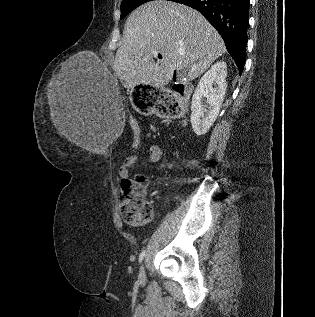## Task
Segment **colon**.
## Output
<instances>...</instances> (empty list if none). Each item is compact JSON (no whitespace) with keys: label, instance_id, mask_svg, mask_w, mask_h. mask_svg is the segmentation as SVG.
Listing matches in <instances>:
<instances>
[{"label":"colon","instance_id":"colon-1","mask_svg":"<svg viewBox=\"0 0 315 317\" xmlns=\"http://www.w3.org/2000/svg\"><path fill=\"white\" fill-rule=\"evenodd\" d=\"M158 101V113L164 117H178L184 111L183 90L161 89V95H154ZM134 141H141V129L133 121ZM121 216L126 223L142 226L149 223L153 217V208L146 197V180L141 175L125 179L121 182Z\"/></svg>","mask_w":315,"mask_h":317}]
</instances>
